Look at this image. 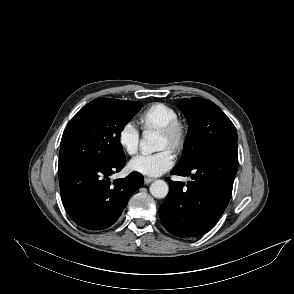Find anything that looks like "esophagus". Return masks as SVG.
I'll use <instances>...</instances> for the list:
<instances>
[{"label":"esophagus","instance_id":"obj_1","mask_svg":"<svg viewBox=\"0 0 294 294\" xmlns=\"http://www.w3.org/2000/svg\"><path fill=\"white\" fill-rule=\"evenodd\" d=\"M154 180H155L154 178L145 177V178H144V183H145V184H150V183L153 182Z\"/></svg>","mask_w":294,"mask_h":294}]
</instances>
